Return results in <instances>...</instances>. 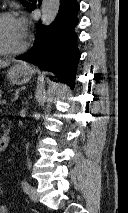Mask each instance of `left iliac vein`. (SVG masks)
<instances>
[{
  "instance_id": "1",
  "label": "left iliac vein",
  "mask_w": 128,
  "mask_h": 213,
  "mask_svg": "<svg viewBox=\"0 0 128 213\" xmlns=\"http://www.w3.org/2000/svg\"><path fill=\"white\" fill-rule=\"evenodd\" d=\"M28 195H29V197L31 198L32 201L36 202L38 200V194H37L35 187L30 186Z\"/></svg>"
}]
</instances>
